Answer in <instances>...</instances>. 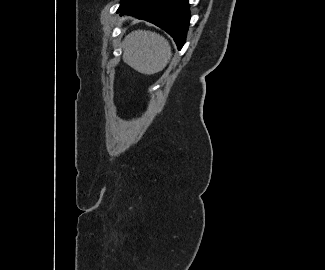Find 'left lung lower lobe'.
<instances>
[{"label":"left lung lower lobe","mask_w":325,"mask_h":270,"mask_svg":"<svg viewBox=\"0 0 325 270\" xmlns=\"http://www.w3.org/2000/svg\"><path fill=\"white\" fill-rule=\"evenodd\" d=\"M119 11L162 28L179 50L184 45L190 21L188 0H121Z\"/></svg>","instance_id":"0a47b994"}]
</instances>
